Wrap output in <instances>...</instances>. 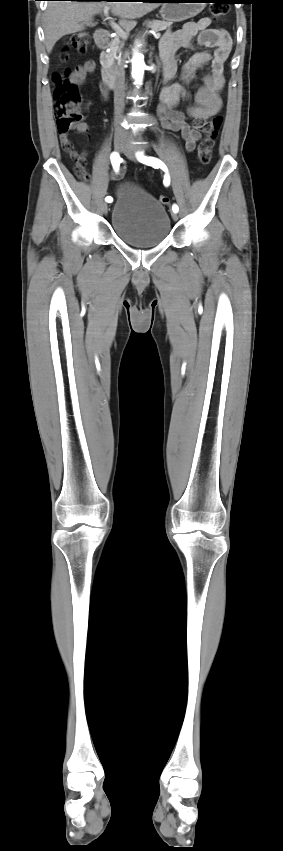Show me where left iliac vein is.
Wrapping results in <instances>:
<instances>
[{"label":"left iliac vein","mask_w":283,"mask_h":851,"mask_svg":"<svg viewBox=\"0 0 283 851\" xmlns=\"http://www.w3.org/2000/svg\"><path fill=\"white\" fill-rule=\"evenodd\" d=\"M124 154L126 155V157H127L128 159H130V160H132V161H136V160H137V159H136V156H135L134 149H133V148H131V147H129V146H126V147H125ZM172 218H173V220H174V221L178 220V214H177L176 212H173V213H172Z\"/></svg>","instance_id":"4c4485c4"}]
</instances>
